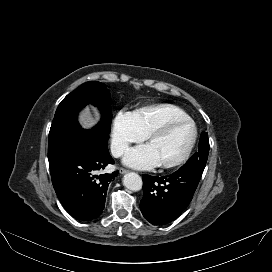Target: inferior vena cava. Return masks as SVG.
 I'll list each match as a JSON object with an SVG mask.
<instances>
[{
	"mask_svg": "<svg viewBox=\"0 0 272 272\" xmlns=\"http://www.w3.org/2000/svg\"><path fill=\"white\" fill-rule=\"evenodd\" d=\"M127 150V144L124 142H113L111 144V153L115 158H118L124 154Z\"/></svg>",
	"mask_w": 272,
	"mask_h": 272,
	"instance_id": "1",
	"label": "inferior vena cava"
}]
</instances>
